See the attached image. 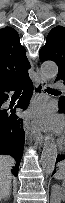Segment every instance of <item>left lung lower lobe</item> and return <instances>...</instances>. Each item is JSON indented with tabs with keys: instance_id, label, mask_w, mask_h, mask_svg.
Segmentation results:
<instances>
[{
	"instance_id": "1",
	"label": "left lung lower lobe",
	"mask_w": 65,
	"mask_h": 203,
	"mask_svg": "<svg viewBox=\"0 0 65 203\" xmlns=\"http://www.w3.org/2000/svg\"><path fill=\"white\" fill-rule=\"evenodd\" d=\"M59 109H60V112L61 113H64L65 114V108L63 106H59ZM60 161H65V154L63 155H59L56 159V163L60 162ZM56 171L54 170L53 174L55 173Z\"/></svg>"
}]
</instances>
